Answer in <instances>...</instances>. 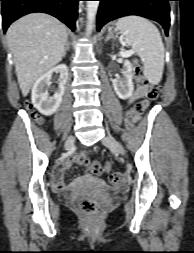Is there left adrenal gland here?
I'll use <instances>...</instances> for the list:
<instances>
[{
	"instance_id": "obj_1",
	"label": "left adrenal gland",
	"mask_w": 194,
	"mask_h": 253,
	"mask_svg": "<svg viewBox=\"0 0 194 253\" xmlns=\"http://www.w3.org/2000/svg\"><path fill=\"white\" fill-rule=\"evenodd\" d=\"M113 37H114V35H113V33L110 31V32L108 33V35L106 36V38H105V42L108 41L109 39L113 38Z\"/></svg>"
}]
</instances>
